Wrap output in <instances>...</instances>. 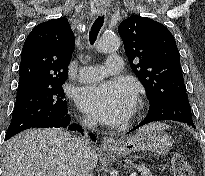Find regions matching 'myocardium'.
<instances>
[{"label":"myocardium","instance_id":"myocardium-1","mask_svg":"<svg viewBox=\"0 0 205 176\" xmlns=\"http://www.w3.org/2000/svg\"><path fill=\"white\" fill-rule=\"evenodd\" d=\"M138 110H139V107H137V108L135 109V113L138 112Z\"/></svg>","mask_w":205,"mask_h":176}]
</instances>
